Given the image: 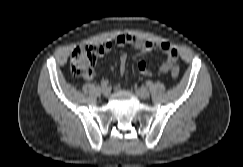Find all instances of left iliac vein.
Segmentation results:
<instances>
[{
    "mask_svg": "<svg viewBox=\"0 0 243 167\" xmlns=\"http://www.w3.org/2000/svg\"><path fill=\"white\" fill-rule=\"evenodd\" d=\"M136 95L141 99H147L150 97V92L146 88L140 87L136 90Z\"/></svg>",
    "mask_w": 243,
    "mask_h": 167,
    "instance_id": "1",
    "label": "left iliac vein"
}]
</instances>
